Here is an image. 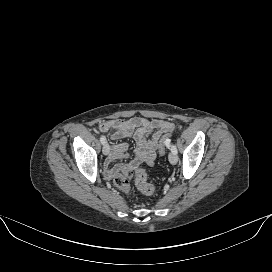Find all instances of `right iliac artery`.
Listing matches in <instances>:
<instances>
[{"label":"right iliac artery","instance_id":"1","mask_svg":"<svg viewBox=\"0 0 272 272\" xmlns=\"http://www.w3.org/2000/svg\"><path fill=\"white\" fill-rule=\"evenodd\" d=\"M100 141L104 145L106 143V138L104 136H101Z\"/></svg>","mask_w":272,"mask_h":272}]
</instances>
